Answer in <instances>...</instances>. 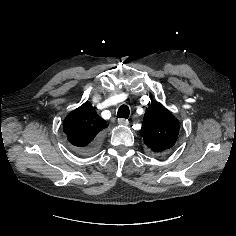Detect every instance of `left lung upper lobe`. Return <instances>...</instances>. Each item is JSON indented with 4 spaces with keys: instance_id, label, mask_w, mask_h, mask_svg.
I'll return each mask as SVG.
<instances>
[{
    "instance_id": "5c2ea615",
    "label": "left lung upper lobe",
    "mask_w": 236,
    "mask_h": 236,
    "mask_svg": "<svg viewBox=\"0 0 236 236\" xmlns=\"http://www.w3.org/2000/svg\"><path fill=\"white\" fill-rule=\"evenodd\" d=\"M141 133L146 146L154 153L170 149L179 134V123L161 103L152 102L143 118Z\"/></svg>"
}]
</instances>
